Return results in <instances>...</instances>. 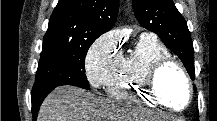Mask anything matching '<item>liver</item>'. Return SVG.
Segmentation results:
<instances>
[{
    "label": "liver",
    "mask_w": 217,
    "mask_h": 121,
    "mask_svg": "<svg viewBox=\"0 0 217 121\" xmlns=\"http://www.w3.org/2000/svg\"><path fill=\"white\" fill-rule=\"evenodd\" d=\"M143 113L128 105L97 97L73 86L53 90L40 107L37 121H135ZM153 119L171 120L155 116Z\"/></svg>",
    "instance_id": "6515ba94"
}]
</instances>
